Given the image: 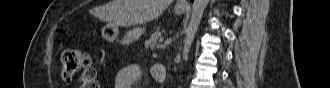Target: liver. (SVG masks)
Listing matches in <instances>:
<instances>
[{
	"instance_id": "6515ba94",
	"label": "liver",
	"mask_w": 330,
	"mask_h": 88,
	"mask_svg": "<svg viewBox=\"0 0 330 88\" xmlns=\"http://www.w3.org/2000/svg\"><path fill=\"white\" fill-rule=\"evenodd\" d=\"M172 0H112L99 13L111 25L134 26L158 18Z\"/></svg>"
}]
</instances>
